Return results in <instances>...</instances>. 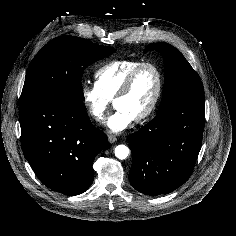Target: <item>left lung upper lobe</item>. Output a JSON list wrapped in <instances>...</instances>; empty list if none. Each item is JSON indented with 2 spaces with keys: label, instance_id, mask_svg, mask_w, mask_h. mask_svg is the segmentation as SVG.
<instances>
[{
  "label": "left lung upper lobe",
  "instance_id": "obj_1",
  "mask_svg": "<svg viewBox=\"0 0 236 236\" xmlns=\"http://www.w3.org/2000/svg\"><path fill=\"white\" fill-rule=\"evenodd\" d=\"M160 52L164 60L165 84L158 113L185 101H204L201 80L185 57L167 43H154L145 48Z\"/></svg>",
  "mask_w": 236,
  "mask_h": 236
}]
</instances>
